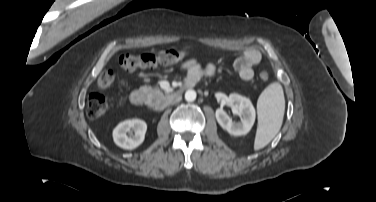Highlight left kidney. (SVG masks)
I'll return each mask as SVG.
<instances>
[{"label":"left kidney","instance_id":"left-kidney-1","mask_svg":"<svg viewBox=\"0 0 376 202\" xmlns=\"http://www.w3.org/2000/svg\"><path fill=\"white\" fill-rule=\"evenodd\" d=\"M228 101L230 106L242 116L241 122H233L223 109L216 110L217 122L231 135H246L255 122L256 112L253 104L248 98L236 93L230 94Z\"/></svg>","mask_w":376,"mask_h":202}]
</instances>
